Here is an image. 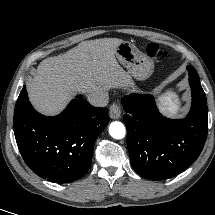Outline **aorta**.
I'll list each match as a JSON object with an SVG mask.
<instances>
[{
  "mask_svg": "<svg viewBox=\"0 0 215 215\" xmlns=\"http://www.w3.org/2000/svg\"><path fill=\"white\" fill-rule=\"evenodd\" d=\"M126 133L125 126L119 122V121H114L110 124L109 126V134L111 137L115 139H122L124 138Z\"/></svg>",
  "mask_w": 215,
  "mask_h": 215,
  "instance_id": "aorta-1",
  "label": "aorta"
}]
</instances>
